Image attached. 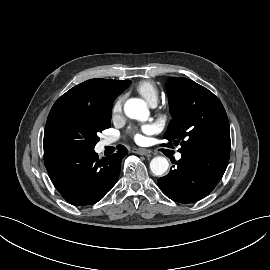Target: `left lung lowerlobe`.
<instances>
[{
	"label": "left lung lower lobe",
	"instance_id": "1",
	"mask_svg": "<svg viewBox=\"0 0 270 270\" xmlns=\"http://www.w3.org/2000/svg\"><path fill=\"white\" fill-rule=\"evenodd\" d=\"M169 174L158 179L161 191L180 203L198 201L208 195L222 178L229 157L216 153H181Z\"/></svg>",
	"mask_w": 270,
	"mask_h": 270
}]
</instances>
